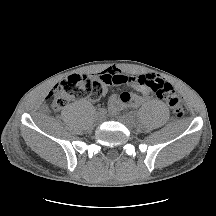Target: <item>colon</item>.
Returning <instances> with one entry per match:
<instances>
[{
	"instance_id": "1",
	"label": "colon",
	"mask_w": 216,
	"mask_h": 216,
	"mask_svg": "<svg viewBox=\"0 0 216 216\" xmlns=\"http://www.w3.org/2000/svg\"><path fill=\"white\" fill-rule=\"evenodd\" d=\"M144 84L158 98L164 100L177 118L184 114L183 100L173 86L161 78H149ZM102 84L86 75L73 74L57 84L49 95L54 110H61L76 97L97 100L102 96ZM133 92H122L117 104L131 100Z\"/></svg>"
}]
</instances>
